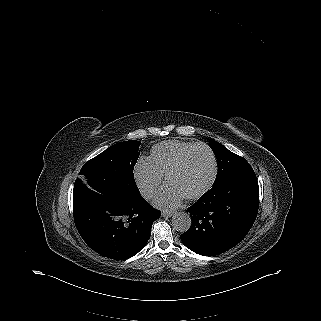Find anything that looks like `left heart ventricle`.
Instances as JSON below:
<instances>
[{
	"mask_svg": "<svg viewBox=\"0 0 321 321\" xmlns=\"http://www.w3.org/2000/svg\"><path fill=\"white\" fill-rule=\"evenodd\" d=\"M213 172V161L206 150H198L187 167L176 175L171 184L183 194L192 193L203 187Z\"/></svg>",
	"mask_w": 321,
	"mask_h": 321,
	"instance_id": "left-heart-ventricle-1",
	"label": "left heart ventricle"
}]
</instances>
